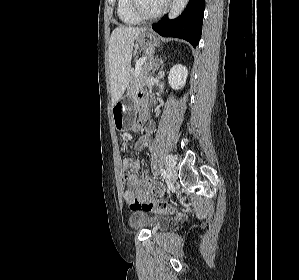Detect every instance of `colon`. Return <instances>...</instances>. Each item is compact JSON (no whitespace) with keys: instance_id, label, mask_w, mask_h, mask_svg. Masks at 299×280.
Returning <instances> with one entry per match:
<instances>
[{"instance_id":"colon-1","label":"colon","mask_w":299,"mask_h":280,"mask_svg":"<svg viewBox=\"0 0 299 280\" xmlns=\"http://www.w3.org/2000/svg\"><path fill=\"white\" fill-rule=\"evenodd\" d=\"M138 168H139L138 161L132 156H126L123 161V170H122L123 177L126 178L127 176L133 174L135 171L138 170ZM130 209L132 211H137V210L150 211L152 209H157L160 212L171 213L177 216H182V214L177 209L162 201H158V202H153L150 200L143 201V202L135 201L130 204Z\"/></svg>"}]
</instances>
